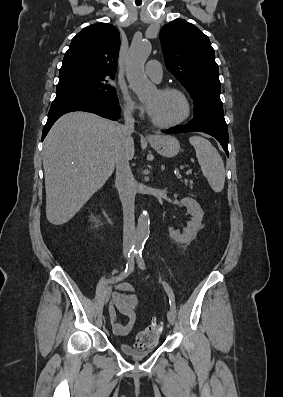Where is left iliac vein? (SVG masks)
Instances as JSON below:
<instances>
[{
	"label": "left iliac vein",
	"instance_id": "1",
	"mask_svg": "<svg viewBox=\"0 0 283 397\" xmlns=\"http://www.w3.org/2000/svg\"><path fill=\"white\" fill-rule=\"evenodd\" d=\"M167 319H168V322L171 324V325H173L174 323H175V319H176V316H175V313L173 312V311H168V313H167Z\"/></svg>",
	"mask_w": 283,
	"mask_h": 397
}]
</instances>
